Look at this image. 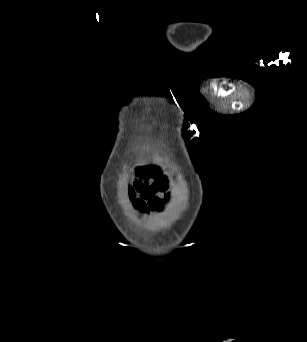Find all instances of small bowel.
I'll list each match as a JSON object with an SVG mask.
<instances>
[{"label": "small bowel", "mask_w": 307, "mask_h": 342, "mask_svg": "<svg viewBox=\"0 0 307 342\" xmlns=\"http://www.w3.org/2000/svg\"><path fill=\"white\" fill-rule=\"evenodd\" d=\"M144 194H145V196H146V194L147 193H145V192H143ZM138 208H139V210H141V211H144L145 210V206H137Z\"/></svg>", "instance_id": "obj_1"}]
</instances>
